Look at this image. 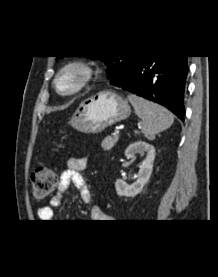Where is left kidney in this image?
Instances as JSON below:
<instances>
[{
	"instance_id": "left-kidney-1",
	"label": "left kidney",
	"mask_w": 218,
	"mask_h": 277,
	"mask_svg": "<svg viewBox=\"0 0 218 277\" xmlns=\"http://www.w3.org/2000/svg\"><path fill=\"white\" fill-rule=\"evenodd\" d=\"M138 152L146 155V159L139 166L138 179L131 185H128L122 179H117L115 182V189L119 196H136L142 191L152 174L153 162L155 159L154 146L143 141L132 143L126 148L125 156L127 158H133Z\"/></svg>"
}]
</instances>
